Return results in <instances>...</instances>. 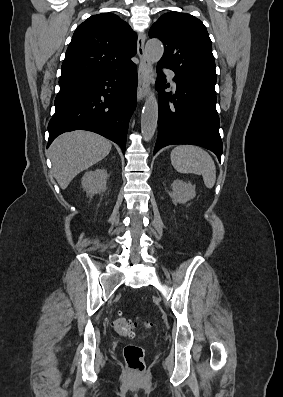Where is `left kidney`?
Instances as JSON below:
<instances>
[{"label": "left kidney", "instance_id": "left-kidney-1", "mask_svg": "<svg viewBox=\"0 0 283 397\" xmlns=\"http://www.w3.org/2000/svg\"><path fill=\"white\" fill-rule=\"evenodd\" d=\"M171 198L174 204L185 203L196 196L195 186L182 180H174L171 184Z\"/></svg>", "mask_w": 283, "mask_h": 397}]
</instances>
